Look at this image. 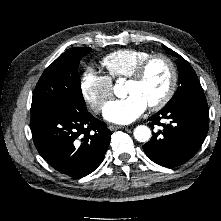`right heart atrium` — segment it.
Here are the masks:
<instances>
[{
  "label": "right heart atrium",
  "instance_id": "1",
  "mask_svg": "<svg viewBox=\"0 0 221 221\" xmlns=\"http://www.w3.org/2000/svg\"><path fill=\"white\" fill-rule=\"evenodd\" d=\"M82 96L95 113H100L113 93L112 80L107 75H100L87 69L80 82Z\"/></svg>",
  "mask_w": 221,
  "mask_h": 221
}]
</instances>
